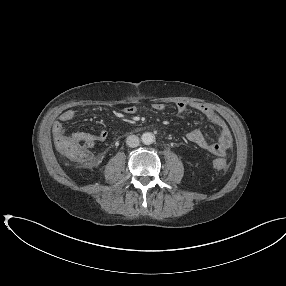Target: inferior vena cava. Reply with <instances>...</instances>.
<instances>
[{
  "label": "inferior vena cava",
  "mask_w": 286,
  "mask_h": 286,
  "mask_svg": "<svg viewBox=\"0 0 286 286\" xmlns=\"http://www.w3.org/2000/svg\"><path fill=\"white\" fill-rule=\"evenodd\" d=\"M126 144L131 147H137L139 145V137L136 135H129L126 139Z\"/></svg>",
  "instance_id": "inferior-vena-cava-1"
}]
</instances>
